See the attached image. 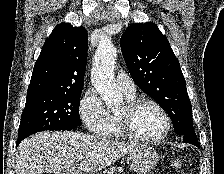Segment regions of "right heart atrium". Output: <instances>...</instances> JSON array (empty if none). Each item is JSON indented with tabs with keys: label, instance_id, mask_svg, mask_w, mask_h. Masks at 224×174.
Listing matches in <instances>:
<instances>
[{
	"label": "right heart atrium",
	"instance_id": "d8ad5b80",
	"mask_svg": "<svg viewBox=\"0 0 224 174\" xmlns=\"http://www.w3.org/2000/svg\"><path fill=\"white\" fill-rule=\"evenodd\" d=\"M79 114L84 126L93 134L104 136L111 125V114L93 89L85 92L79 103Z\"/></svg>",
	"mask_w": 224,
	"mask_h": 174
}]
</instances>
